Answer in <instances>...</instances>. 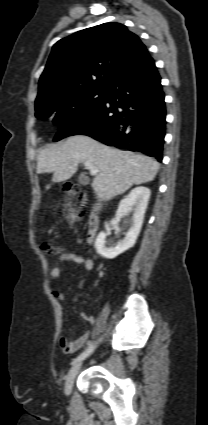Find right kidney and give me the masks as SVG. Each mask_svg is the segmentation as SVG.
<instances>
[{"mask_svg":"<svg viewBox=\"0 0 208 425\" xmlns=\"http://www.w3.org/2000/svg\"><path fill=\"white\" fill-rule=\"evenodd\" d=\"M149 198L150 190L148 188L136 187L120 201L115 218L111 220L110 225H117L122 217H127L130 229L122 241L109 247L105 246V239L109 233L100 232L95 241L98 254L107 259H113L135 245L143 224Z\"/></svg>","mask_w":208,"mask_h":425,"instance_id":"1","label":"right kidney"}]
</instances>
